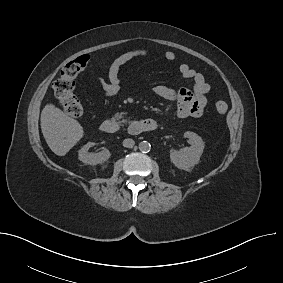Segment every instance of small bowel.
Segmentation results:
<instances>
[{
	"label": "small bowel",
	"instance_id": "c3829d8e",
	"mask_svg": "<svg viewBox=\"0 0 283 283\" xmlns=\"http://www.w3.org/2000/svg\"><path fill=\"white\" fill-rule=\"evenodd\" d=\"M147 55L148 51L146 49H132L116 57L108 69L107 76L97 78V82L103 91V96L111 98L117 95L121 88V68L128 62ZM163 58L166 61H175L176 54L167 51L163 54ZM178 70L182 79L191 82L190 88L184 86L172 88L165 85H157L153 88V93L162 99L174 102L178 118L200 117L207 103L206 95L210 91V85L201 73L188 64H181Z\"/></svg>",
	"mask_w": 283,
	"mask_h": 283
}]
</instances>
